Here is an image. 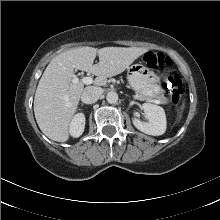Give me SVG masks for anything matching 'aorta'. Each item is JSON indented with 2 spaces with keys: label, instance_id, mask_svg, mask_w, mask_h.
Instances as JSON below:
<instances>
[{
  "label": "aorta",
  "instance_id": "762f6f07",
  "mask_svg": "<svg viewBox=\"0 0 220 220\" xmlns=\"http://www.w3.org/2000/svg\"><path fill=\"white\" fill-rule=\"evenodd\" d=\"M106 100L110 104H115L118 102V94L116 92H108L106 95Z\"/></svg>",
  "mask_w": 220,
  "mask_h": 220
}]
</instances>
